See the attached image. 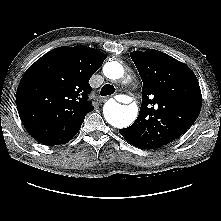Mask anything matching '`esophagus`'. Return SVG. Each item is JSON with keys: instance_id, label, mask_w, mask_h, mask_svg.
I'll return each instance as SVG.
<instances>
[{"instance_id": "obj_1", "label": "esophagus", "mask_w": 221, "mask_h": 221, "mask_svg": "<svg viewBox=\"0 0 221 221\" xmlns=\"http://www.w3.org/2000/svg\"><path fill=\"white\" fill-rule=\"evenodd\" d=\"M108 99V97H101V98H99V102L100 103H103V102H105L106 100Z\"/></svg>"}]
</instances>
